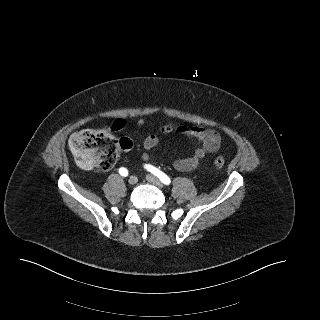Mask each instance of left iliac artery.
<instances>
[{
	"mask_svg": "<svg viewBox=\"0 0 320 320\" xmlns=\"http://www.w3.org/2000/svg\"><path fill=\"white\" fill-rule=\"evenodd\" d=\"M145 168L151 173H153L154 175H156L161 180V182L164 183L165 185H169L171 183L170 178L165 173L155 168L154 166H151L148 164V165H145Z\"/></svg>",
	"mask_w": 320,
	"mask_h": 320,
	"instance_id": "44dca946",
	"label": "left iliac artery"
}]
</instances>
